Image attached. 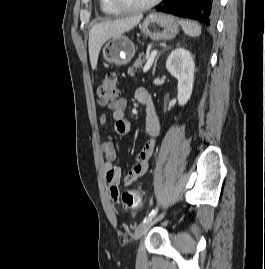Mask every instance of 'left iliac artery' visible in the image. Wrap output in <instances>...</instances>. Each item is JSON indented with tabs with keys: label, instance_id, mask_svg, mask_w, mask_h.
<instances>
[{
	"label": "left iliac artery",
	"instance_id": "1",
	"mask_svg": "<svg viewBox=\"0 0 265 269\" xmlns=\"http://www.w3.org/2000/svg\"><path fill=\"white\" fill-rule=\"evenodd\" d=\"M157 210H158V208L152 210V211H151V212L144 218L143 222H148V221L152 220V219L155 217V215L157 214Z\"/></svg>",
	"mask_w": 265,
	"mask_h": 269
}]
</instances>
